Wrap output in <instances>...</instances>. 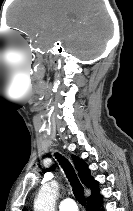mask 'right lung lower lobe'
Instances as JSON below:
<instances>
[{
	"label": "right lung lower lobe",
	"mask_w": 133,
	"mask_h": 211,
	"mask_svg": "<svg viewBox=\"0 0 133 211\" xmlns=\"http://www.w3.org/2000/svg\"><path fill=\"white\" fill-rule=\"evenodd\" d=\"M102 203V197L94 200H88L87 211H100V205Z\"/></svg>",
	"instance_id": "right-lung-lower-lobe-1"
}]
</instances>
